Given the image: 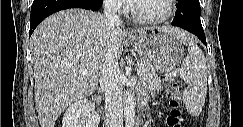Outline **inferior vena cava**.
Segmentation results:
<instances>
[{
  "label": "inferior vena cava",
  "instance_id": "inferior-vena-cava-1",
  "mask_svg": "<svg viewBox=\"0 0 243 127\" xmlns=\"http://www.w3.org/2000/svg\"><path fill=\"white\" fill-rule=\"evenodd\" d=\"M120 0H105L104 15L112 28L119 26L120 19L117 10ZM100 86L105 92V123L106 127L123 126L122 90L123 82L118 67L117 55L109 50L100 75Z\"/></svg>",
  "mask_w": 243,
  "mask_h": 127
}]
</instances>
